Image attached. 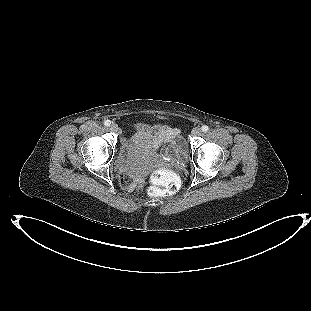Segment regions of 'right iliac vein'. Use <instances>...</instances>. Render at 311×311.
Listing matches in <instances>:
<instances>
[{"label": "right iliac vein", "mask_w": 311, "mask_h": 311, "mask_svg": "<svg viewBox=\"0 0 311 311\" xmlns=\"http://www.w3.org/2000/svg\"><path fill=\"white\" fill-rule=\"evenodd\" d=\"M110 130L114 131V132H117L118 131V125L116 123H112L110 125Z\"/></svg>", "instance_id": "1"}]
</instances>
